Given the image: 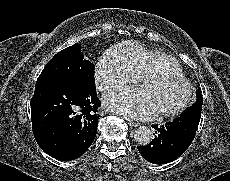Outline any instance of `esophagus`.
<instances>
[{
	"instance_id": "34e87169",
	"label": "esophagus",
	"mask_w": 230,
	"mask_h": 181,
	"mask_svg": "<svg viewBox=\"0 0 230 181\" xmlns=\"http://www.w3.org/2000/svg\"><path fill=\"white\" fill-rule=\"evenodd\" d=\"M126 121L128 122V124L131 126V127H138L139 126V123H136L134 121H131L129 119L126 118Z\"/></svg>"
}]
</instances>
